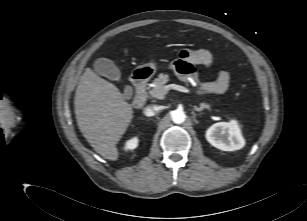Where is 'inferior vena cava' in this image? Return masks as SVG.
<instances>
[{
  "label": "inferior vena cava",
  "instance_id": "602c4592",
  "mask_svg": "<svg viewBox=\"0 0 307 221\" xmlns=\"http://www.w3.org/2000/svg\"><path fill=\"white\" fill-rule=\"evenodd\" d=\"M158 111V107L156 105L153 106H148L145 110H144V114L146 116H153L155 114V112Z\"/></svg>",
  "mask_w": 307,
  "mask_h": 221
}]
</instances>
